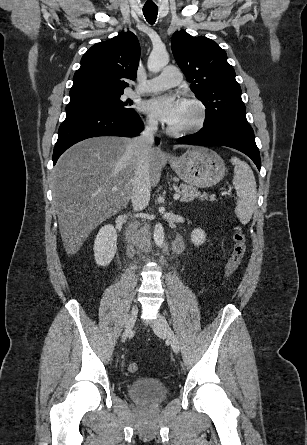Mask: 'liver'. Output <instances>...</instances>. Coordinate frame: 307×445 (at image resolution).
I'll return each mask as SVG.
<instances>
[{"label":"liver","mask_w":307,"mask_h":445,"mask_svg":"<svg viewBox=\"0 0 307 445\" xmlns=\"http://www.w3.org/2000/svg\"><path fill=\"white\" fill-rule=\"evenodd\" d=\"M131 140L126 136H94L73 144L60 156L53 170L52 188L67 255L78 253L103 220L127 206L136 166V156L128 148ZM149 158L150 184L156 186L163 162L157 146L151 148Z\"/></svg>","instance_id":"liver-1"}]
</instances>
